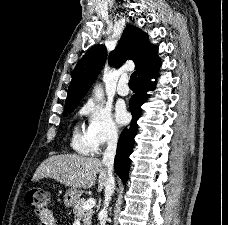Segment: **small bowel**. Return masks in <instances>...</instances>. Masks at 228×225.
Returning <instances> with one entry per match:
<instances>
[{
	"label": "small bowel",
	"mask_w": 228,
	"mask_h": 225,
	"mask_svg": "<svg viewBox=\"0 0 228 225\" xmlns=\"http://www.w3.org/2000/svg\"><path fill=\"white\" fill-rule=\"evenodd\" d=\"M39 225H57V221L51 211H46L44 214L39 216Z\"/></svg>",
	"instance_id": "c3829d8e"
}]
</instances>
